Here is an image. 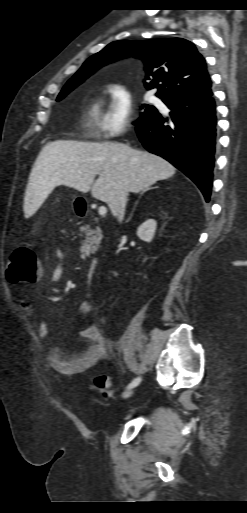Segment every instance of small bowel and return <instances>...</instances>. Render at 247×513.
I'll list each match as a JSON object with an SVG mask.
<instances>
[{
    "mask_svg": "<svg viewBox=\"0 0 247 513\" xmlns=\"http://www.w3.org/2000/svg\"><path fill=\"white\" fill-rule=\"evenodd\" d=\"M54 255L55 261L50 278L52 282H58L62 279L63 253L57 249ZM22 307L28 315L32 313L33 309L26 301L22 303ZM91 311L92 304L88 300H83L77 309L79 315H87ZM38 331L42 339L46 340L51 337L50 327L45 321L39 322ZM79 333L84 344L78 352L68 353L56 347L49 349L45 354V361L50 369L66 375L81 374L99 362L119 353L120 343H108L95 325L83 326Z\"/></svg>",
    "mask_w": 247,
    "mask_h": 513,
    "instance_id": "c3829d8e",
    "label": "small bowel"
}]
</instances>
